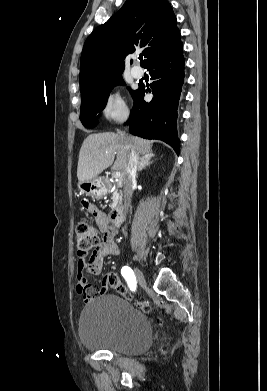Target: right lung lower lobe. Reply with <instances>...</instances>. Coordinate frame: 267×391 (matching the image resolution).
Masks as SVG:
<instances>
[{
  "mask_svg": "<svg viewBox=\"0 0 267 391\" xmlns=\"http://www.w3.org/2000/svg\"><path fill=\"white\" fill-rule=\"evenodd\" d=\"M146 68L153 82L151 89L139 85L133 94V110L127 122L129 131L146 139L162 140L178 154L176 120L185 76L182 43L154 58ZM147 91L154 95L150 103L144 101Z\"/></svg>",
  "mask_w": 267,
  "mask_h": 391,
  "instance_id": "1",
  "label": "right lung lower lobe"
}]
</instances>
